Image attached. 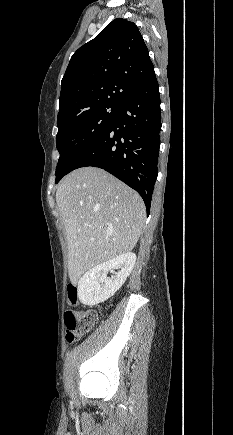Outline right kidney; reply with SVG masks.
<instances>
[{"instance_id":"obj_1","label":"right kidney","mask_w":233,"mask_h":435,"mask_svg":"<svg viewBox=\"0 0 233 435\" xmlns=\"http://www.w3.org/2000/svg\"><path fill=\"white\" fill-rule=\"evenodd\" d=\"M135 262L136 255L127 252L87 271L78 282L77 296L80 302L87 306H94L109 299L125 283ZM113 269H120V271L109 279L107 273Z\"/></svg>"}]
</instances>
